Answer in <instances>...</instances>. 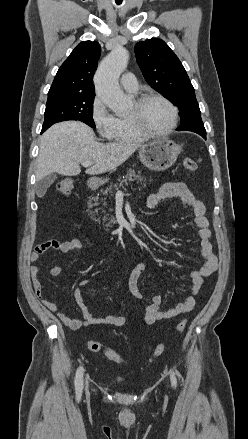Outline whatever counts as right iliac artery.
<instances>
[{"label": "right iliac artery", "instance_id": "obj_1", "mask_svg": "<svg viewBox=\"0 0 248 439\" xmlns=\"http://www.w3.org/2000/svg\"><path fill=\"white\" fill-rule=\"evenodd\" d=\"M83 372H84V368L82 366H80L76 372L75 389L78 394H80L83 389Z\"/></svg>", "mask_w": 248, "mask_h": 439}]
</instances>
